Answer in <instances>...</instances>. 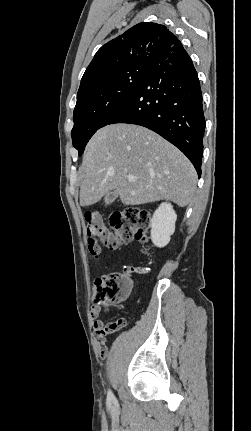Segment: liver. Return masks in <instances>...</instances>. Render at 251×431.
Wrapping results in <instances>:
<instances>
[{
  "instance_id": "6515ba94",
  "label": "liver",
  "mask_w": 251,
  "mask_h": 431,
  "mask_svg": "<svg viewBox=\"0 0 251 431\" xmlns=\"http://www.w3.org/2000/svg\"><path fill=\"white\" fill-rule=\"evenodd\" d=\"M80 176L81 206L114 192L126 206L171 200L185 207L197 183L196 171L181 151L155 132L126 123L107 125L93 135ZM128 176L135 180L129 182Z\"/></svg>"
}]
</instances>
